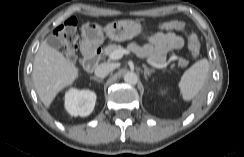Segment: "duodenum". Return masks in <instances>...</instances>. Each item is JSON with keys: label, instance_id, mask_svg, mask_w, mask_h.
Listing matches in <instances>:
<instances>
[{"label": "duodenum", "instance_id": "obj_1", "mask_svg": "<svg viewBox=\"0 0 244 157\" xmlns=\"http://www.w3.org/2000/svg\"><path fill=\"white\" fill-rule=\"evenodd\" d=\"M101 50L88 45L84 46V67L88 72H92L100 61Z\"/></svg>", "mask_w": 244, "mask_h": 157}]
</instances>
